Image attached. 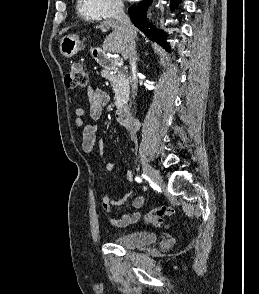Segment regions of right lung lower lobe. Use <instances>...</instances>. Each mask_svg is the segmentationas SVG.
<instances>
[{
  "mask_svg": "<svg viewBox=\"0 0 259 294\" xmlns=\"http://www.w3.org/2000/svg\"><path fill=\"white\" fill-rule=\"evenodd\" d=\"M152 0H143L136 5H132L128 13L133 24L139 28L149 39L158 42L160 45L170 50L169 45L166 42L165 36H163V32L158 31L154 28V26L150 27L151 25L147 22L146 18V10L149 7ZM172 6L176 5L178 0H171Z\"/></svg>",
  "mask_w": 259,
  "mask_h": 294,
  "instance_id": "obj_1",
  "label": "right lung lower lobe"
}]
</instances>
